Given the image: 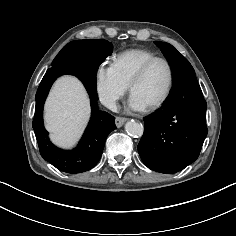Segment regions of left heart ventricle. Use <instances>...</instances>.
<instances>
[{"label": "left heart ventricle", "mask_w": 236, "mask_h": 236, "mask_svg": "<svg viewBox=\"0 0 236 236\" xmlns=\"http://www.w3.org/2000/svg\"><path fill=\"white\" fill-rule=\"evenodd\" d=\"M169 71L162 62L155 63L144 79L134 88L132 95L139 98L145 106L158 101L166 91Z\"/></svg>", "instance_id": "b2bd125f"}]
</instances>
